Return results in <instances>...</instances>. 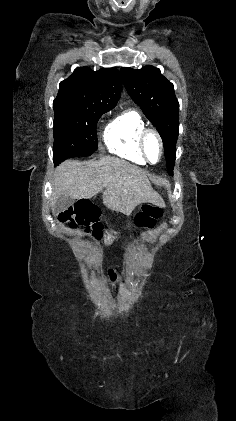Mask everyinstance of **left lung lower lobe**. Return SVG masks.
Returning a JSON list of instances; mask_svg holds the SVG:
<instances>
[{
	"mask_svg": "<svg viewBox=\"0 0 236 421\" xmlns=\"http://www.w3.org/2000/svg\"><path fill=\"white\" fill-rule=\"evenodd\" d=\"M173 167H174V165L173 164H169V163H167V168H168V173H169V175H173Z\"/></svg>",
	"mask_w": 236,
	"mask_h": 421,
	"instance_id": "0a47b994",
	"label": "left lung lower lobe"
}]
</instances>
